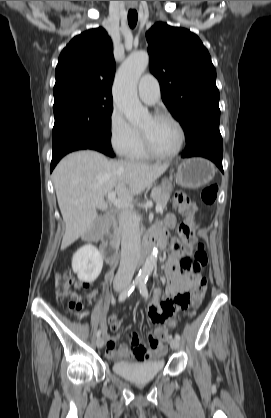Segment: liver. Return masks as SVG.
<instances>
[{"mask_svg": "<svg viewBox=\"0 0 271 418\" xmlns=\"http://www.w3.org/2000/svg\"><path fill=\"white\" fill-rule=\"evenodd\" d=\"M169 163L145 164L127 160H108L103 154L85 150L67 155L53 171L58 205L65 222L61 249H66L88 232L106 211L104 197L115 190L118 199L131 202L157 180Z\"/></svg>", "mask_w": 271, "mask_h": 418, "instance_id": "obj_1", "label": "liver"}]
</instances>
